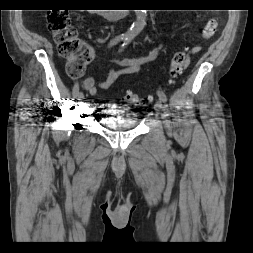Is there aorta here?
<instances>
[{
	"mask_svg": "<svg viewBox=\"0 0 253 253\" xmlns=\"http://www.w3.org/2000/svg\"><path fill=\"white\" fill-rule=\"evenodd\" d=\"M147 18V10H136V21L131 25L125 33L127 39L136 37L145 27Z\"/></svg>",
	"mask_w": 253,
	"mask_h": 253,
	"instance_id": "762f6f07",
	"label": "aorta"
}]
</instances>
